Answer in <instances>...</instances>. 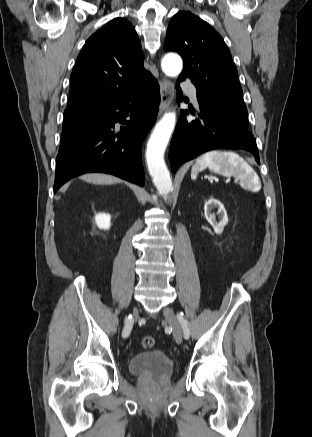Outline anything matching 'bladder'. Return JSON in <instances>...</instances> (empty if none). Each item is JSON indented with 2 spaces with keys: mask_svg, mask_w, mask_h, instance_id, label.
I'll use <instances>...</instances> for the list:
<instances>
[{
  "mask_svg": "<svg viewBox=\"0 0 312 437\" xmlns=\"http://www.w3.org/2000/svg\"><path fill=\"white\" fill-rule=\"evenodd\" d=\"M128 370L135 376L168 377L173 373L172 360L161 350L140 351L128 361Z\"/></svg>",
  "mask_w": 312,
  "mask_h": 437,
  "instance_id": "1",
  "label": "bladder"
}]
</instances>
